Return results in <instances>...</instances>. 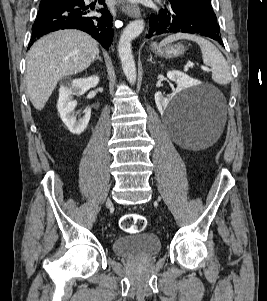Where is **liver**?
<instances>
[{
	"label": "liver",
	"instance_id": "obj_1",
	"mask_svg": "<svg viewBox=\"0 0 267 301\" xmlns=\"http://www.w3.org/2000/svg\"><path fill=\"white\" fill-rule=\"evenodd\" d=\"M98 51V42L78 30H60L38 40L26 66L27 94L35 109L44 108L61 78L88 68Z\"/></svg>",
	"mask_w": 267,
	"mask_h": 301
}]
</instances>
